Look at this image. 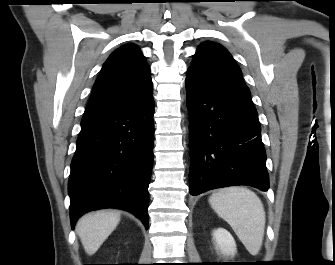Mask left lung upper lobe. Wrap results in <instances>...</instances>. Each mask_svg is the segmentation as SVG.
I'll return each instance as SVG.
<instances>
[{"mask_svg": "<svg viewBox=\"0 0 335 265\" xmlns=\"http://www.w3.org/2000/svg\"><path fill=\"white\" fill-rule=\"evenodd\" d=\"M189 69L197 71L214 83L250 95L239 66L228 50L220 44L210 41L202 43Z\"/></svg>", "mask_w": 335, "mask_h": 265, "instance_id": "1", "label": "left lung upper lobe"}]
</instances>
